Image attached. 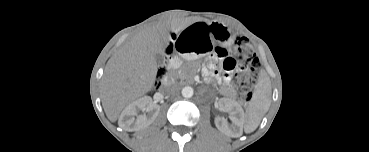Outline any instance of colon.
I'll return each mask as SVG.
<instances>
[{"label": "colon", "instance_id": "5ec220e1", "mask_svg": "<svg viewBox=\"0 0 369 152\" xmlns=\"http://www.w3.org/2000/svg\"><path fill=\"white\" fill-rule=\"evenodd\" d=\"M219 66L227 74H234L237 85L244 93H248L254 86L261 67L257 55L248 42L242 38L236 42L233 55L219 53Z\"/></svg>", "mask_w": 369, "mask_h": 152}]
</instances>
